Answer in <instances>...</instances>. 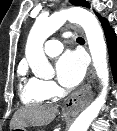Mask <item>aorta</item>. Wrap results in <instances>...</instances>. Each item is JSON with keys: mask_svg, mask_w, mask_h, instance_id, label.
Instances as JSON below:
<instances>
[{"mask_svg": "<svg viewBox=\"0 0 117 131\" xmlns=\"http://www.w3.org/2000/svg\"><path fill=\"white\" fill-rule=\"evenodd\" d=\"M67 20L81 25L84 29L93 65L103 86L98 97L81 112L70 127V131H87L91 122L98 116L106 102L109 82L106 43L102 28L95 15L77 7L62 10L50 17H38L28 35L25 56L35 76L40 78L51 77L54 70L44 54L43 44Z\"/></svg>", "mask_w": 117, "mask_h": 131, "instance_id": "762f6f07", "label": "aorta"}]
</instances>
